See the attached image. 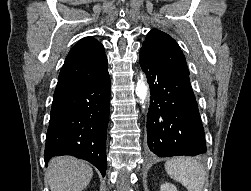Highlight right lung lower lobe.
<instances>
[{
  "instance_id": "obj_1",
  "label": "right lung lower lobe",
  "mask_w": 251,
  "mask_h": 191,
  "mask_svg": "<svg viewBox=\"0 0 251 191\" xmlns=\"http://www.w3.org/2000/svg\"><path fill=\"white\" fill-rule=\"evenodd\" d=\"M110 77L53 98L44 159L72 155L106 172Z\"/></svg>"
}]
</instances>
